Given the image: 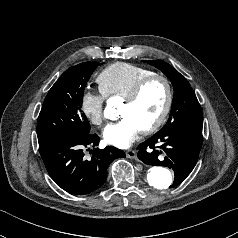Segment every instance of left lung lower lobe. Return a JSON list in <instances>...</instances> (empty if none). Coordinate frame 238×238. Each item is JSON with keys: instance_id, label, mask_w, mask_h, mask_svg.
Masks as SVG:
<instances>
[{"instance_id": "0a47b994", "label": "left lung lower lobe", "mask_w": 238, "mask_h": 238, "mask_svg": "<svg viewBox=\"0 0 238 238\" xmlns=\"http://www.w3.org/2000/svg\"><path fill=\"white\" fill-rule=\"evenodd\" d=\"M201 124L157 132L139 145L138 158L148 165H163L174 171L170 188L182 183L195 167L203 144Z\"/></svg>"}]
</instances>
